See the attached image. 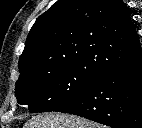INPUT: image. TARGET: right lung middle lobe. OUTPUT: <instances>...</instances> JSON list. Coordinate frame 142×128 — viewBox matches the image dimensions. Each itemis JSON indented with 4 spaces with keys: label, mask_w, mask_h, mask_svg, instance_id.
Segmentation results:
<instances>
[{
    "label": "right lung middle lobe",
    "mask_w": 142,
    "mask_h": 128,
    "mask_svg": "<svg viewBox=\"0 0 142 128\" xmlns=\"http://www.w3.org/2000/svg\"><path fill=\"white\" fill-rule=\"evenodd\" d=\"M97 78L83 66H67L18 79V103L28 105L31 113L55 111L87 88Z\"/></svg>",
    "instance_id": "dd1d6c3e"
}]
</instances>
